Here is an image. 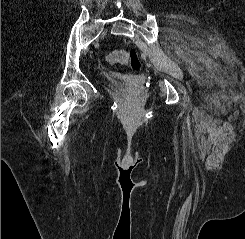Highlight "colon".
<instances>
[{
  "mask_svg": "<svg viewBox=\"0 0 245 239\" xmlns=\"http://www.w3.org/2000/svg\"><path fill=\"white\" fill-rule=\"evenodd\" d=\"M107 60L111 64H129L134 70H139L141 67L140 58L134 49L113 51L107 56Z\"/></svg>",
  "mask_w": 245,
  "mask_h": 239,
  "instance_id": "5ec220e1",
  "label": "colon"
}]
</instances>
